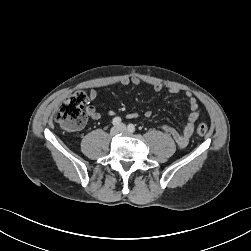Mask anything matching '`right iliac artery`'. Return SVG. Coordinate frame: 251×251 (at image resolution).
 <instances>
[{
  "label": "right iliac artery",
  "instance_id": "82829eb1",
  "mask_svg": "<svg viewBox=\"0 0 251 251\" xmlns=\"http://www.w3.org/2000/svg\"><path fill=\"white\" fill-rule=\"evenodd\" d=\"M113 125H119L121 123V118L120 117H115L112 120Z\"/></svg>",
  "mask_w": 251,
  "mask_h": 251
}]
</instances>
